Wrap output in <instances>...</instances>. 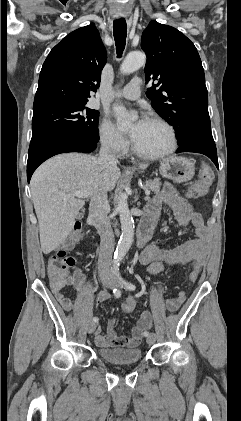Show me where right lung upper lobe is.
<instances>
[{"label": "right lung upper lobe", "mask_w": 241, "mask_h": 421, "mask_svg": "<svg viewBox=\"0 0 241 421\" xmlns=\"http://www.w3.org/2000/svg\"><path fill=\"white\" fill-rule=\"evenodd\" d=\"M106 58L93 23L68 34L42 66L33 108L51 103H87L90 93L99 87Z\"/></svg>", "instance_id": "1"}]
</instances>
